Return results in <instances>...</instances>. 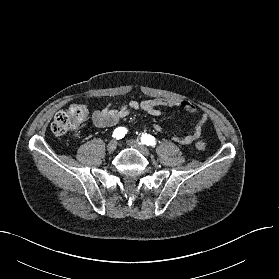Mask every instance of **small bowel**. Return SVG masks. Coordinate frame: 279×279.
Instances as JSON below:
<instances>
[{
  "label": "small bowel",
  "instance_id": "1",
  "mask_svg": "<svg viewBox=\"0 0 279 279\" xmlns=\"http://www.w3.org/2000/svg\"><path fill=\"white\" fill-rule=\"evenodd\" d=\"M167 107H179L186 110L191 116L197 117L196 124L184 136L173 135L171 138L180 145H190L198 139L205 124L207 123V114L201 111L196 105L187 100L154 98L141 102L130 101L122 105L108 103L101 110H95L92 113V122L99 128H107L116 125L120 120L127 117L132 111L141 110L152 116H159ZM153 128L157 132L162 131L159 124H154Z\"/></svg>",
  "mask_w": 279,
  "mask_h": 279
}]
</instances>
